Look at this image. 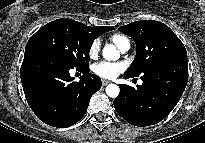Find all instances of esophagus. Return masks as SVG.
I'll return each mask as SVG.
<instances>
[{
	"instance_id": "1",
	"label": "esophagus",
	"mask_w": 205,
	"mask_h": 143,
	"mask_svg": "<svg viewBox=\"0 0 205 143\" xmlns=\"http://www.w3.org/2000/svg\"><path fill=\"white\" fill-rule=\"evenodd\" d=\"M110 83V81H108V80H102V85L103 86H106V85H108Z\"/></svg>"
}]
</instances>
